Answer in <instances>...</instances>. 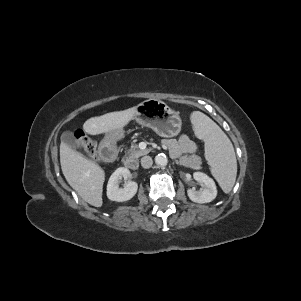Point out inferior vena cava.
I'll list each match as a JSON object with an SVG mask.
<instances>
[{
  "instance_id": "inferior-vena-cava-1",
  "label": "inferior vena cava",
  "mask_w": 301,
  "mask_h": 301,
  "mask_svg": "<svg viewBox=\"0 0 301 301\" xmlns=\"http://www.w3.org/2000/svg\"><path fill=\"white\" fill-rule=\"evenodd\" d=\"M153 164V160L150 156H144L141 158V166L143 168H150Z\"/></svg>"
}]
</instances>
